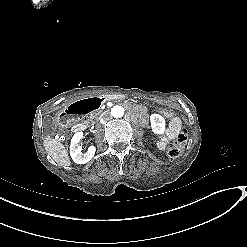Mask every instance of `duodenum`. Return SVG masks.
Here are the masks:
<instances>
[{"label": "duodenum", "mask_w": 247, "mask_h": 247, "mask_svg": "<svg viewBox=\"0 0 247 247\" xmlns=\"http://www.w3.org/2000/svg\"><path fill=\"white\" fill-rule=\"evenodd\" d=\"M119 98L117 95H106V96H91L83 98L69 105L63 113V119L65 121L75 122L74 131H84L86 124L83 122H76L77 118L81 115L90 113L103 104L104 101L109 99Z\"/></svg>", "instance_id": "duodenum-1"}]
</instances>
